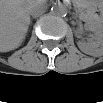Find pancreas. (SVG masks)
<instances>
[{"instance_id": "1", "label": "pancreas", "mask_w": 103, "mask_h": 103, "mask_svg": "<svg viewBox=\"0 0 103 103\" xmlns=\"http://www.w3.org/2000/svg\"><path fill=\"white\" fill-rule=\"evenodd\" d=\"M77 15H78V17L81 19V20H83V21H89L90 19H89V17H88V15L87 14H85L81 9H78L77 10Z\"/></svg>"}]
</instances>
